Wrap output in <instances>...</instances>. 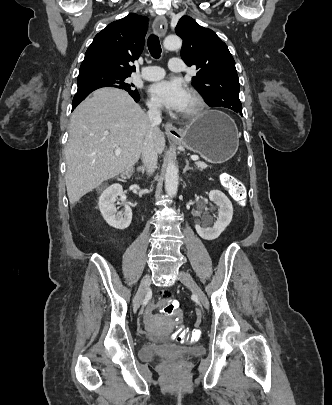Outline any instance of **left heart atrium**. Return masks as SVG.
Listing matches in <instances>:
<instances>
[{
    "label": "left heart atrium",
    "mask_w": 332,
    "mask_h": 405,
    "mask_svg": "<svg viewBox=\"0 0 332 405\" xmlns=\"http://www.w3.org/2000/svg\"><path fill=\"white\" fill-rule=\"evenodd\" d=\"M150 95L164 107L181 112L188 100L189 93L178 79L161 80L149 87Z\"/></svg>",
    "instance_id": "1"
}]
</instances>
